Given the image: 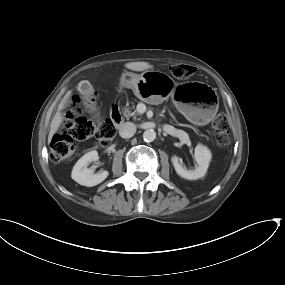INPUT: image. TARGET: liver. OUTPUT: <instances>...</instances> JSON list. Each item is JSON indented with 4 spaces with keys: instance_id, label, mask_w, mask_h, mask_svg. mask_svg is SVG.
Masks as SVG:
<instances>
[{
    "instance_id": "liver-1",
    "label": "liver",
    "mask_w": 285,
    "mask_h": 285,
    "mask_svg": "<svg viewBox=\"0 0 285 285\" xmlns=\"http://www.w3.org/2000/svg\"><path fill=\"white\" fill-rule=\"evenodd\" d=\"M125 67L133 71H145V70H149L153 68V66L149 64L148 62H129L125 64ZM82 82L83 81H81L78 84V90H80V86ZM70 96H71V91H68L58 106V111L56 112L55 116L53 117L51 121V128H50V132L48 136V143L51 142L54 134L57 132L61 123L63 122V115L61 111L67 106L70 100Z\"/></svg>"
}]
</instances>
